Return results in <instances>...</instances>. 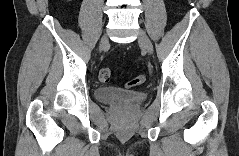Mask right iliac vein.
Segmentation results:
<instances>
[{
	"mask_svg": "<svg viewBox=\"0 0 239 156\" xmlns=\"http://www.w3.org/2000/svg\"><path fill=\"white\" fill-rule=\"evenodd\" d=\"M108 44V38L106 35H103L100 42V50H102Z\"/></svg>",
	"mask_w": 239,
	"mask_h": 156,
	"instance_id": "obj_1",
	"label": "right iliac vein"
}]
</instances>
